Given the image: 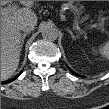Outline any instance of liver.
I'll return each instance as SVG.
<instances>
[{
    "instance_id": "6515ba94",
    "label": "liver",
    "mask_w": 109,
    "mask_h": 109,
    "mask_svg": "<svg viewBox=\"0 0 109 109\" xmlns=\"http://www.w3.org/2000/svg\"><path fill=\"white\" fill-rule=\"evenodd\" d=\"M26 8L4 9L1 18V77L3 80L12 76L16 71L21 51L20 24L25 21L37 24V16L30 9L31 1H22ZM7 10V11H6Z\"/></svg>"
}]
</instances>
